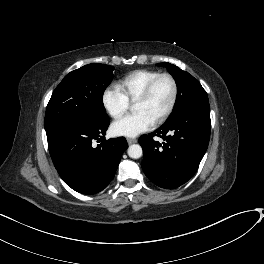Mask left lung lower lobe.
Listing matches in <instances>:
<instances>
[{"mask_svg": "<svg viewBox=\"0 0 264 264\" xmlns=\"http://www.w3.org/2000/svg\"><path fill=\"white\" fill-rule=\"evenodd\" d=\"M210 131V106L202 103L186 108L151 134L141 136V166L147 178L166 189L186 183L207 150ZM154 136L164 142L154 141Z\"/></svg>", "mask_w": 264, "mask_h": 264, "instance_id": "1", "label": "left lung lower lobe"}]
</instances>
